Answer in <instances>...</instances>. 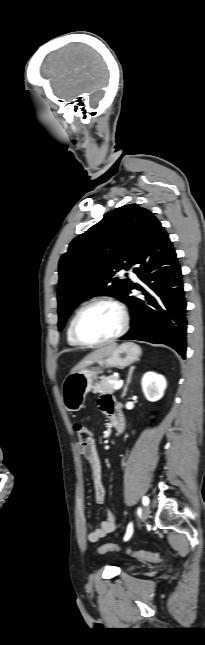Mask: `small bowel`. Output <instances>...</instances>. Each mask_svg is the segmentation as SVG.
<instances>
[{
  "mask_svg": "<svg viewBox=\"0 0 205 645\" xmlns=\"http://www.w3.org/2000/svg\"><path fill=\"white\" fill-rule=\"evenodd\" d=\"M98 405L101 411L111 420L117 412H120L114 399L109 395L103 396ZM76 449L85 458L90 467L94 500L96 504L102 505L105 502V487L102 481V465L96 444L93 441L87 445L78 444ZM119 525L116 517L107 510L105 519L100 522L98 528L87 534V540L91 543L98 542L108 534L115 532Z\"/></svg>",
  "mask_w": 205,
  "mask_h": 645,
  "instance_id": "1",
  "label": "small bowel"
}]
</instances>
